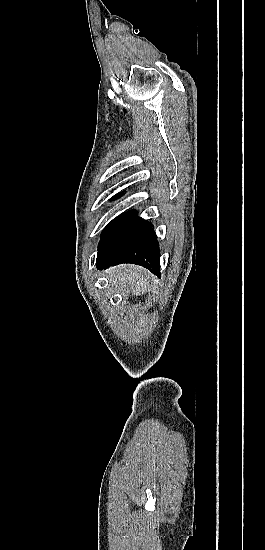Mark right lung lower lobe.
Returning <instances> with one entry per match:
<instances>
[{
  "instance_id": "obj_1",
  "label": "right lung lower lobe",
  "mask_w": 265,
  "mask_h": 550,
  "mask_svg": "<svg viewBox=\"0 0 265 550\" xmlns=\"http://www.w3.org/2000/svg\"><path fill=\"white\" fill-rule=\"evenodd\" d=\"M159 247L151 223L141 219L134 229L110 252L97 255L96 266L106 269L120 263H133L160 276Z\"/></svg>"
}]
</instances>
